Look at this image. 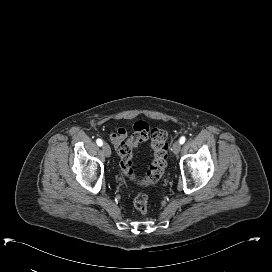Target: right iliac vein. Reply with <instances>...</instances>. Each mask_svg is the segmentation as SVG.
Returning a JSON list of instances; mask_svg holds the SVG:
<instances>
[{"mask_svg":"<svg viewBox=\"0 0 272 272\" xmlns=\"http://www.w3.org/2000/svg\"><path fill=\"white\" fill-rule=\"evenodd\" d=\"M102 150H103V152H104V154H105L106 157H110L111 156V148H110V146L107 143L103 144Z\"/></svg>","mask_w":272,"mask_h":272,"instance_id":"63e3f726","label":"right iliac vein"}]
</instances>
